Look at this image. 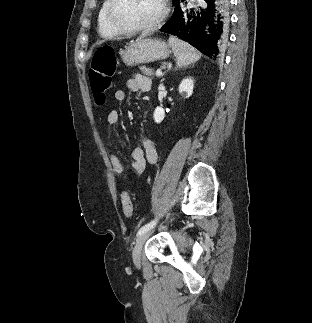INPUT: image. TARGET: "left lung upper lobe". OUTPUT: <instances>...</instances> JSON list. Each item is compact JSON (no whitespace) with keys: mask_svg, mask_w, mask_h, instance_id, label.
<instances>
[{"mask_svg":"<svg viewBox=\"0 0 312 323\" xmlns=\"http://www.w3.org/2000/svg\"><path fill=\"white\" fill-rule=\"evenodd\" d=\"M173 3H174V6H175V10H174V13L175 11L177 10L178 6H179V3H180V0H172ZM173 16V15H172Z\"/></svg>","mask_w":312,"mask_h":323,"instance_id":"5c2ea615","label":"left lung upper lobe"}]
</instances>
